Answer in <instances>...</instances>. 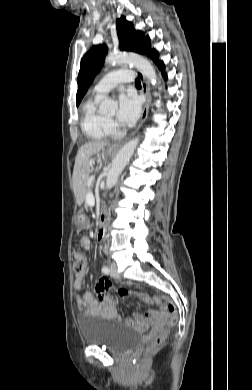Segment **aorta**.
Listing matches in <instances>:
<instances>
[{
    "instance_id": "aorta-1",
    "label": "aorta",
    "mask_w": 252,
    "mask_h": 390,
    "mask_svg": "<svg viewBox=\"0 0 252 390\" xmlns=\"http://www.w3.org/2000/svg\"><path fill=\"white\" fill-rule=\"evenodd\" d=\"M108 64H130L137 68L146 78L151 82L152 85H155L157 82V77L155 70L151 63L144 57L133 54V53H123V54H110L106 60ZM117 103L110 98H103L100 104V109L103 111H108L115 109ZM139 143V137H135L126 143L118 152L115 157L113 164L107 174L106 179V189L110 190L116 183L119 178V175L125 168L127 162L132 157L137 145Z\"/></svg>"
}]
</instances>
